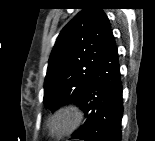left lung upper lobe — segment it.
Masks as SVG:
<instances>
[{
    "label": "left lung upper lobe",
    "mask_w": 155,
    "mask_h": 141,
    "mask_svg": "<svg viewBox=\"0 0 155 141\" xmlns=\"http://www.w3.org/2000/svg\"><path fill=\"white\" fill-rule=\"evenodd\" d=\"M84 5L60 32L48 61L43 102L51 111L66 102L79 104L114 38L100 3L87 1Z\"/></svg>",
    "instance_id": "1"
}]
</instances>
